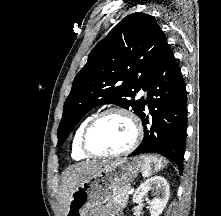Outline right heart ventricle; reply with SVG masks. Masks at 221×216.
Returning <instances> with one entry per match:
<instances>
[{"label":"right heart ventricle","mask_w":221,"mask_h":216,"mask_svg":"<svg viewBox=\"0 0 221 216\" xmlns=\"http://www.w3.org/2000/svg\"><path fill=\"white\" fill-rule=\"evenodd\" d=\"M94 113H91L89 115H87L82 122L79 124L78 128L75 131L73 140H72V145H71V155L74 159H84L86 158L88 155H86L80 146V138H81V134L82 131L84 129V127L86 126V124L88 123V121L94 116Z\"/></svg>","instance_id":"obj_1"}]
</instances>
